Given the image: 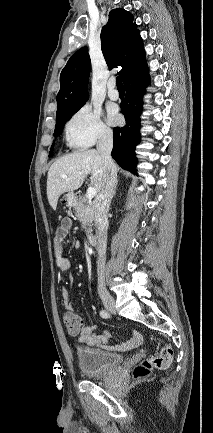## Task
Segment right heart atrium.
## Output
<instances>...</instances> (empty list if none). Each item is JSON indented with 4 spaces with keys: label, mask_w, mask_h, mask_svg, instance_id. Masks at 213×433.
Listing matches in <instances>:
<instances>
[{
    "label": "right heart atrium",
    "mask_w": 213,
    "mask_h": 433,
    "mask_svg": "<svg viewBox=\"0 0 213 433\" xmlns=\"http://www.w3.org/2000/svg\"><path fill=\"white\" fill-rule=\"evenodd\" d=\"M65 136L72 148L82 149L111 139L112 132L102 121L99 110L84 105L66 122Z\"/></svg>",
    "instance_id": "d8ad5b80"
}]
</instances>
